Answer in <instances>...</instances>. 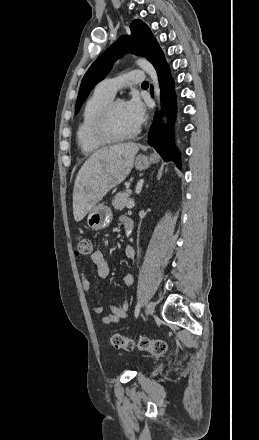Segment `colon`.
<instances>
[{"instance_id":"1","label":"colon","mask_w":259,"mask_h":440,"mask_svg":"<svg viewBox=\"0 0 259 440\" xmlns=\"http://www.w3.org/2000/svg\"><path fill=\"white\" fill-rule=\"evenodd\" d=\"M93 251V245L90 238L85 235H78L76 238V254L89 255ZM111 344L117 349L132 350L138 348L140 350L148 351L153 355H162L167 350V344L160 339H150L141 337L137 341L125 337L118 333H113L110 338Z\"/></svg>"}]
</instances>
